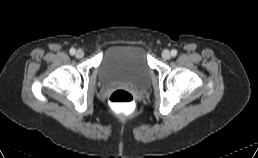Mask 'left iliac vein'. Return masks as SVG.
Segmentation results:
<instances>
[{
	"mask_svg": "<svg viewBox=\"0 0 258 158\" xmlns=\"http://www.w3.org/2000/svg\"><path fill=\"white\" fill-rule=\"evenodd\" d=\"M162 57L166 60L169 59L171 57L169 50H167V49L163 50Z\"/></svg>",
	"mask_w": 258,
	"mask_h": 158,
	"instance_id": "left-iliac-vein-1",
	"label": "left iliac vein"
}]
</instances>
